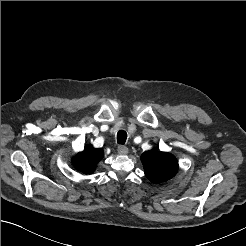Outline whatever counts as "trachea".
<instances>
[{"mask_svg":"<svg viewBox=\"0 0 246 246\" xmlns=\"http://www.w3.org/2000/svg\"><path fill=\"white\" fill-rule=\"evenodd\" d=\"M126 139H127V133L124 130H120L117 133V143L123 145L125 144Z\"/></svg>","mask_w":246,"mask_h":246,"instance_id":"trachea-1","label":"trachea"}]
</instances>
